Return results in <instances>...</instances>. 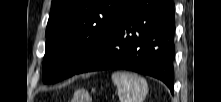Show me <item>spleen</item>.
Wrapping results in <instances>:
<instances>
[{"label":"spleen","mask_w":221,"mask_h":102,"mask_svg":"<svg viewBox=\"0 0 221 102\" xmlns=\"http://www.w3.org/2000/svg\"><path fill=\"white\" fill-rule=\"evenodd\" d=\"M121 102H143L148 93L147 81L134 73L116 71L111 76Z\"/></svg>","instance_id":"3e777b00"}]
</instances>
